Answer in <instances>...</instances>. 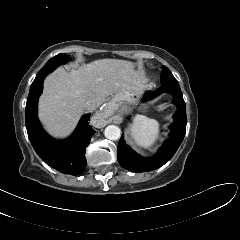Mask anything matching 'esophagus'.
I'll return each instance as SVG.
<instances>
[{
  "label": "esophagus",
  "instance_id": "34e87169",
  "mask_svg": "<svg viewBox=\"0 0 240 240\" xmlns=\"http://www.w3.org/2000/svg\"><path fill=\"white\" fill-rule=\"evenodd\" d=\"M113 114V108L111 106H106L98 116L99 122L106 125L109 123L112 119H108Z\"/></svg>",
  "mask_w": 240,
  "mask_h": 240
}]
</instances>
